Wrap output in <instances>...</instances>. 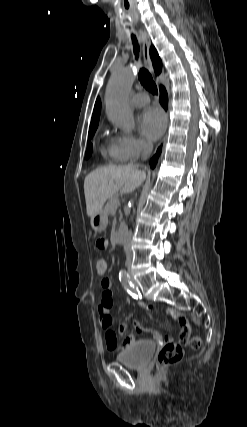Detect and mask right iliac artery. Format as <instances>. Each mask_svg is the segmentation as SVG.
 I'll return each mask as SVG.
<instances>
[{
    "instance_id": "right-iliac-artery-1",
    "label": "right iliac artery",
    "mask_w": 247,
    "mask_h": 427,
    "mask_svg": "<svg viewBox=\"0 0 247 427\" xmlns=\"http://www.w3.org/2000/svg\"><path fill=\"white\" fill-rule=\"evenodd\" d=\"M119 280L122 283L124 289L133 297L136 299H141L142 295L137 287H135L131 280L130 276L128 274H123L119 276Z\"/></svg>"
}]
</instances>
